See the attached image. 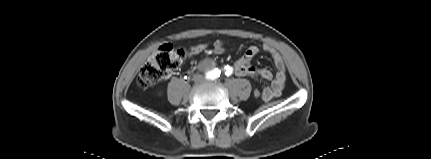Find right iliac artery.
<instances>
[{
	"mask_svg": "<svg viewBox=\"0 0 431 159\" xmlns=\"http://www.w3.org/2000/svg\"><path fill=\"white\" fill-rule=\"evenodd\" d=\"M215 73L219 75L220 70L218 71V69H215L214 71H212V72L208 73V76H207V77L211 78V75H213V74H215Z\"/></svg>",
	"mask_w": 431,
	"mask_h": 159,
	"instance_id": "obj_1",
	"label": "right iliac artery"
}]
</instances>
